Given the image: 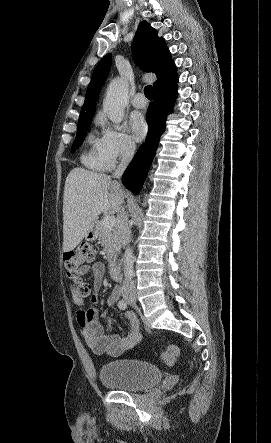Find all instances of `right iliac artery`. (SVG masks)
<instances>
[{"label":"right iliac artery","instance_id":"obj_1","mask_svg":"<svg viewBox=\"0 0 271 443\" xmlns=\"http://www.w3.org/2000/svg\"><path fill=\"white\" fill-rule=\"evenodd\" d=\"M118 307L121 309V310H125L126 308H127V302L125 301V300H120L119 302H118Z\"/></svg>","mask_w":271,"mask_h":443}]
</instances>
